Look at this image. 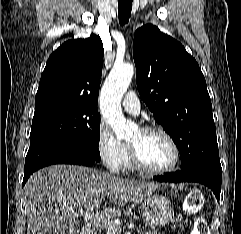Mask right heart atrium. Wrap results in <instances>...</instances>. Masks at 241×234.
Instances as JSON below:
<instances>
[{
    "label": "right heart atrium",
    "mask_w": 241,
    "mask_h": 234,
    "mask_svg": "<svg viewBox=\"0 0 241 234\" xmlns=\"http://www.w3.org/2000/svg\"><path fill=\"white\" fill-rule=\"evenodd\" d=\"M96 149L101 161L110 171L119 172L122 169L125 144L104 123L99 124L97 129Z\"/></svg>",
    "instance_id": "obj_1"
}]
</instances>
